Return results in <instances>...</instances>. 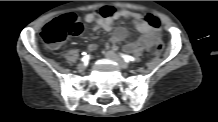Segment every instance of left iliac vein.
Segmentation results:
<instances>
[{"mask_svg":"<svg viewBox=\"0 0 218 122\" xmlns=\"http://www.w3.org/2000/svg\"><path fill=\"white\" fill-rule=\"evenodd\" d=\"M104 55H105L106 58L114 61L120 68H122V69H128L129 68V64L126 63L124 60H122L114 52L106 51V52H104Z\"/></svg>","mask_w":218,"mask_h":122,"instance_id":"left-iliac-vein-1","label":"left iliac vein"}]
</instances>
